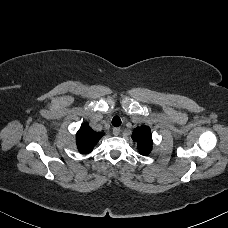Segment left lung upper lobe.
Listing matches in <instances>:
<instances>
[{
	"instance_id": "obj_1",
	"label": "left lung upper lobe",
	"mask_w": 228,
	"mask_h": 228,
	"mask_svg": "<svg viewBox=\"0 0 228 228\" xmlns=\"http://www.w3.org/2000/svg\"><path fill=\"white\" fill-rule=\"evenodd\" d=\"M132 139L137 143V148L142 155L150 154L153 141L149 127L142 126L135 128L132 134Z\"/></svg>"
}]
</instances>
